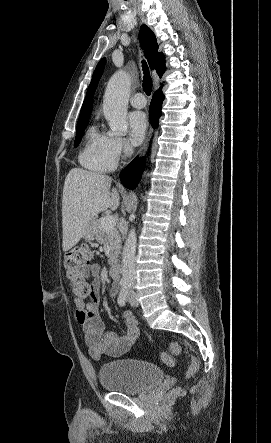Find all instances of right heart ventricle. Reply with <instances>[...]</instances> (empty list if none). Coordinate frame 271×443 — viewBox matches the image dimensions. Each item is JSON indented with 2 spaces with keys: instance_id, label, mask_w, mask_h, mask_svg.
Returning <instances> with one entry per match:
<instances>
[{
  "instance_id": "right-heart-ventricle-1",
  "label": "right heart ventricle",
  "mask_w": 271,
  "mask_h": 443,
  "mask_svg": "<svg viewBox=\"0 0 271 443\" xmlns=\"http://www.w3.org/2000/svg\"><path fill=\"white\" fill-rule=\"evenodd\" d=\"M108 135L91 126L85 135V142L79 154L80 163L87 169L97 172H109L116 162L108 154Z\"/></svg>"
}]
</instances>
